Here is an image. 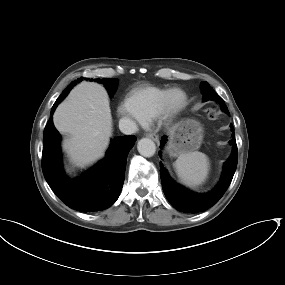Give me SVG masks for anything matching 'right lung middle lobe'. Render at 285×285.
Returning a JSON list of instances; mask_svg holds the SVG:
<instances>
[{
	"label": "right lung middle lobe",
	"instance_id": "1",
	"mask_svg": "<svg viewBox=\"0 0 285 285\" xmlns=\"http://www.w3.org/2000/svg\"><path fill=\"white\" fill-rule=\"evenodd\" d=\"M84 79H86V78H84ZM80 81H82V79L78 78L77 80H74L73 82H71L68 87H72L73 85H76V83H78ZM92 81H93V79H92ZM95 81L103 84L106 87V89L108 90L110 95H112L116 91L117 80L115 78H104V79L98 78Z\"/></svg>",
	"mask_w": 285,
	"mask_h": 285
}]
</instances>
